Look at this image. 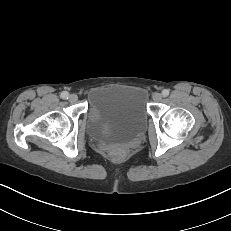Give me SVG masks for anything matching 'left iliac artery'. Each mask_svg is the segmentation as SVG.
<instances>
[{
	"instance_id": "obj_1",
	"label": "left iliac artery",
	"mask_w": 231,
	"mask_h": 231,
	"mask_svg": "<svg viewBox=\"0 0 231 231\" xmlns=\"http://www.w3.org/2000/svg\"><path fill=\"white\" fill-rule=\"evenodd\" d=\"M169 93H170V91H169L168 89H164V90L162 91V95H163L164 97H167V96L169 95Z\"/></svg>"
}]
</instances>
